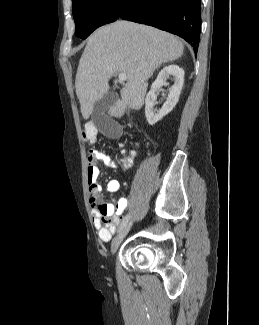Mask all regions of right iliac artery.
Instances as JSON below:
<instances>
[{
	"label": "right iliac artery",
	"instance_id": "right-iliac-artery-1",
	"mask_svg": "<svg viewBox=\"0 0 259 325\" xmlns=\"http://www.w3.org/2000/svg\"><path fill=\"white\" fill-rule=\"evenodd\" d=\"M129 218H130V215H129V214H127V215L123 218V220H122V222H121V224H120V226H119L118 232L121 231V230H122V229L127 225L128 221H129Z\"/></svg>",
	"mask_w": 259,
	"mask_h": 325
}]
</instances>
